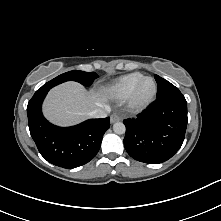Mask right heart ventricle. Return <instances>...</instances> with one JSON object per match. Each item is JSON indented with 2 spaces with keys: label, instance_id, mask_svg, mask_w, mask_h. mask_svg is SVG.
<instances>
[{
  "label": "right heart ventricle",
  "instance_id": "right-heart-ventricle-1",
  "mask_svg": "<svg viewBox=\"0 0 221 221\" xmlns=\"http://www.w3.org/2000/svg\"><path fill=\"white\" fill-rule=\"evenodd\" d=\"M144 77L138 72L129 73L117 78L108 88V94L115 99H124L129 96L135 85Z\"/></svg>",
  "mask_w": 221,
  "mask_h": 221
}]
</instances>
